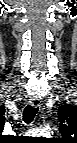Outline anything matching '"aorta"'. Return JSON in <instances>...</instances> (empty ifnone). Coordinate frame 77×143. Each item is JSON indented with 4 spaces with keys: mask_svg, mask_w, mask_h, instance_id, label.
I'll return each instance as SVG.
<instances>
[{
    "mask_svg": "<svg viewBox=\"0 0 77 143\" xmlns=\"http://www.w3.org/2000/svg\"><path fill=\"white\" fill-rule=\"evenodd\" d=\"M37 135H48L50 134V129L48 127L40 128L36 131Z\"/></svg>",
    "mask_w": 77,
    "mask_h": 143,
    "instance_id": "aorta-1",
    "label": "aorta"
}]
</instances>
